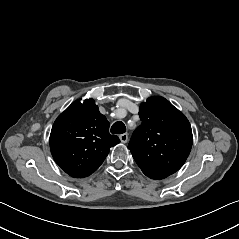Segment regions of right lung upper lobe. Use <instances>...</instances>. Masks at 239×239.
I'll use <instances>...</instances> for the list:
<instances>
[{
  "label": "right lung upper lobe",
  "instance_id": "right-lung-upper-lobe-1",
  "mask_svg": "<svg viewBox=\"0 0 239 239\" xmlns=\"http://www.w3.org/2000/svg\"><path fill=\"white\" fill-rule=\"evenodd\" d=\"M120 143L93 99L73 102L54 122L50 149L55 162L74 178L91 175L110 148Z\"/></svg>",
  "mask_w": 239,
  "mask_h": 239
}]
</instances>
